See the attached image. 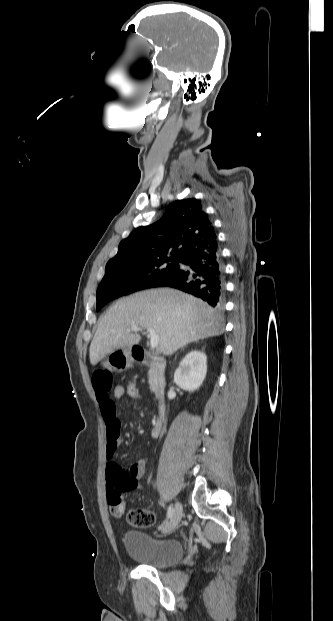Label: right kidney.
<instances>
[{"instance_id": "1", "label": "right kidney", "mask_w": 333, "mask_h": 621, "mask_svg": "<svg viewBox=\"0 0 333 621\" xmlns=\"http://www.w3.org/2000/svg\"><path fill=\"white\" fill-rule=\"evenodd\" d=\"M207 373L206 354L199 350L188 353L179 363L174 374L175 383L187 391L198 389Z\"/></svg>"}]
</instances>
